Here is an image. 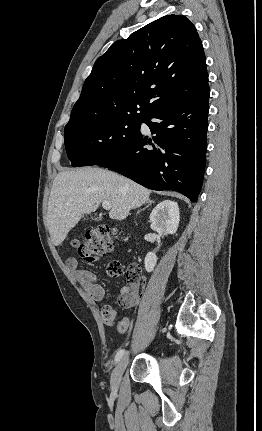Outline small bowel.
Wrapping results in <instances>:
<instances>
[{
	"label": "small bowel",
	"instance_id": "small-bowel-1",
	"mask_svg": "<svg viewBox=\"0 0 262 431\" xmlns=\"http://www.w3.org/2000/svg\"><path fill=\"white\" fill-rule=\"evenodd\" d=\"M67 267L74 274L76 281L87 291L89 296L98 301H105V290L97 282L96 277L87 269L78 267V262L75 258H68L66 261ZM139 283L137 280H133L130 283L123 285L120 289L118 297V303L126 308H131L139 303ZM108 311L111 312V316L116 318V311L108 303L102 305V314H106ZM120 333H124L118 329Z\"/></svg>",
	"mask_w": 262,
	"mask_h": 431
}]
</instances>
